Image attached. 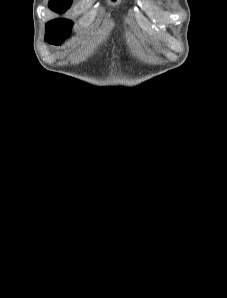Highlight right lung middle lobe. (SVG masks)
<instances>
[{"mask_svg": "<svg viewBox=\"0 0 227 298\" xmlns=\"http://www.w3.org/2000/svg\"><path fill=\"white\" fill-rule=\"evenodd\" d=\"M72 0H50L49 8L57 13H63L70 8ZM72 22L67 19L49 21L46 24L45 40L55 45L61 44L71 31Z\"/></svg>", "mask_w": 227, "mask_h": 298, "instance_id": "1", "label": "right lung middle lobe"}]
</instances>
